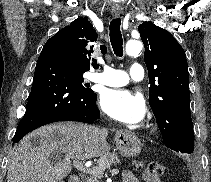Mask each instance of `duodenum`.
<instances>
[{
	"label": "duodenum",
	"instance_id": "410a0bca",
	"mask_svg": "<svg viewBox=\"0 0 211 182\" xmlns=\"http://www.w3.org/2000/svg\"><path fill=\"white\" fill-rule=\"evenodd\" d=\"M69 182H80V178L78 175H73L70 177Z\"/></svg>",
	"mask_w": 211,
	"mask_h": 182
}]
</instances>
